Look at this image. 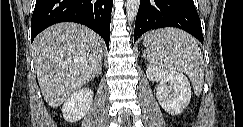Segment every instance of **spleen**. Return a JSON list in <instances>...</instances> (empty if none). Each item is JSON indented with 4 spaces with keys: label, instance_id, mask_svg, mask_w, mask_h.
Segmentation results:
<instances>
[{
    "label": "spleen",
    "instance_id": "obj_1",
    "mask_svg": "<svg viewBox=\"0 0 243 127\" xmlns=\"http://www.w3.org/2000/svg\"><path fill=\"white\" fill-rule=\"evenodd\" d=\"M143 44L153 66L185 73L195 93L200 94L204 82V60L197 41L191 35L175 28H165L147 34Z\"/></svg>",
    "mask_w": 243,
    "mask_h": 127
}]
</instances>
